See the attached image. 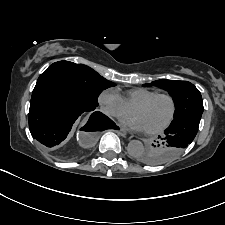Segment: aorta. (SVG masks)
Returning <instances> with one entry per match:
<instances>
[{"label": "aorta", "instance_id": "obj_1", "mask_svg": "<svg viewBox=\"0 0 225 225\" xmlns=\"http://www.w3.org/2000/svg\"><path fill=\"white\" fill-rule=\"evenodd\" d=\"M144 151V145L139 140H131L127 146V152L132 157H137Z\"/></svg>", "mask_w": 225, "mask_h": 225}]
</instances>
